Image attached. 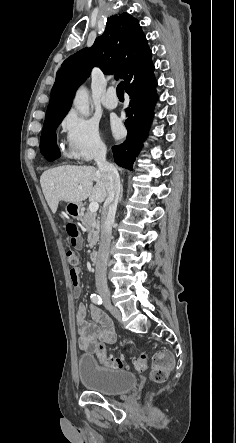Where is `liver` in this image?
I'll return each mask as SVG.
<instances>
[{"label":"liver","instance_id":"liver-1","mask_svg":"<svg viewBox=\"0 0 236 443\" xmlns=\"http://www.w3.org/2000/svg\"><path fill=\"white\" fill-rule=\"evenodd\" d=\"M93 182H96L94 187ZM40 184L52 213L57 211L60 201L81 204L89 198L91 202L101 203L107 196L105 181L92 166L68 165L46 170Z\"/></svg>","mask_w":236,"mask_h":443}]
</instances>
